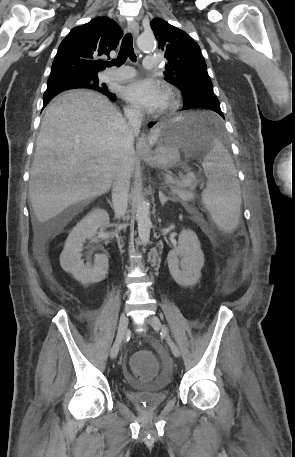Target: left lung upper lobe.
I'll return each mask as SVG.
<instances>
[{
    "mask_svg": "<svg viewBox=\"0 0 295 457\" xmlns=\"http://www.w3.org/2000/svg\"><path fill=\"white\" fill-rule=\"evenodd\" d=\"M150 25L168 61L165 80L182 91L185 104L207 97L217 99L199 45L163 19L155 18Z\"/></svg>",
    "mask_w": 295,
    "mask_h": 457,
    "instance_id": "1",
    "label": "left lung upper lobe"
}]
</instances>
